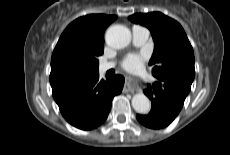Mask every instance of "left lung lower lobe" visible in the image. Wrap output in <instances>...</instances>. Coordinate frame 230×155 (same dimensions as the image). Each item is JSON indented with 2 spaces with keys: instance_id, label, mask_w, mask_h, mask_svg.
Instances as JSON below:
<instances>
[{
  "instance_id": "left-lung-lower-lobe-1",
  "label": "left lung lower lobe",
  "mask_w": 230,
  "mask_h": 155,
  "mask_svg": "<svg viewBox=\"0 0 230 155\" xmlns=\"http://www.w3.org/2000/svg\"><path fill=\"white\" fill-rule=\"evenodd\" d=\"M189 91L171 81L159 80L152 87L149 85L144 93L152 101L151 111L148 115L138 114V121L152 129L167 127L179 114Z\"/></svg>"
}]
</instances>
